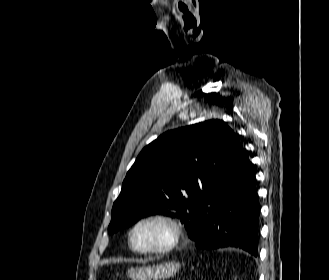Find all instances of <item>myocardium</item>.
Returning <instances> with one entry per match:
<instances>
[{
    "label": "myocardium",
    "mask_w": 329,
    "mask_h": 280,
    "mask_svg": "<svg viewBox=\"0 0 329 280\" xmlns=\"http://www.w3.org/2000/svg\"><path fill=\"white\" fill-rule=\"evenodd\" d=\"M148 222H160L166 225L170 231L168 242L157 248L138 249L133 244V234L135 230L142 224ZM182 238V229L178 221L170 214L164 212H156L139 218L130 228L128 233V244L130 249L140 255H163L174 250L180 243Z\"/></svg>",
    "instance_id": "1"
}]
</instances>
